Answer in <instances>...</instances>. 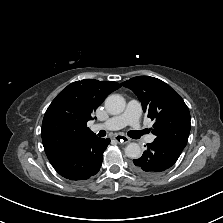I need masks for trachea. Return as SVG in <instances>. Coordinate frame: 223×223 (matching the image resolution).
I'll return each instance as SVG.
<instances>
[{"instance_id":"obj_1","label":"trachea","mask_w":223,"mask_h":223,"mask_svg":"<svg viewBox=\"0 0 223 223\" xmlns=\"http://www.w3.org/2000/svg\"><path fill=\"white\" fill-rule=\"evenodd\" d=\"M102 132H104V131H102ZM129 133L138 134L137 132H134V131H131V132H129Z\"/></svg>"}]
</instances>
